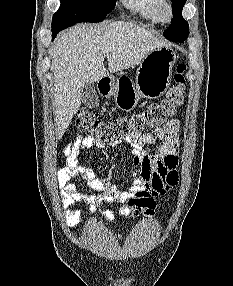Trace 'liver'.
Wrapping results in <instances>:
<instances>
[{
	"instance_id": "obj_1",
	"label": "liver",
	"mask_w": 233,
	"mask_h": 286,
	"mask_svg": "<svg viewBox=\"0 0 233 286\" xmlns=\"http://www.w3.org/2000/svg\"><path fill=\"white\" fill-rule=\"evenodd\" d=\"M168 46L164 39L126 21L98 27L78 24L62 32L52 48L51 63L57 139L79 110L85 84L139 64L153 50Z\"/></svg>"
}]
</instances>
